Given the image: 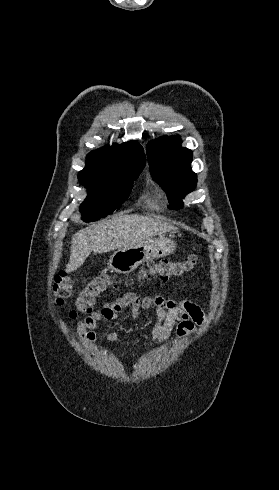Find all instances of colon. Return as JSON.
<instances>
[{
	"mask_svg": "<svg viewBox=\"0 0 279 490\" xmlns=\"http://www.w3.org/2000/svg\"><path fill=\"white\" fill-rule=\"evenodd\" d=\"M197 263L198 256L196 254H190L184 260L180 261L165 259L150 261L143 267L146 273L142 279L159 277L161 280L166 281L169 278L179 277L190 272ZM114 283L115 278L109 274H102L88 281L76 296L74 306L68 313V316L76 319L81 314L90 313L93 310L95 298L112 287ZM73 284V279L66 274L58 275L53 285V299L61 302L67 298L72 291Z\"/></svg>",
	"mask_w": 279,
	"mask_h": 490,
	"instance_id": "1",
	"label": "colon"
}]
</instances>
